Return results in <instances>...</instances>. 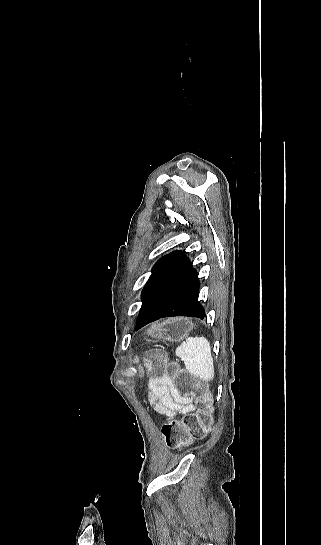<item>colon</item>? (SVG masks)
<instances>
[{
  "label": "colon",
  "mask_w": 321,
  "mask_h": 545,
  "mask_svg": "<svg viewBox=\"0 0 321 545\" xmlns=\"http://www.w3.org/2000/svg\"><path fill=\"white\" fill-rule=\"evenodd\" d=\"M145 364L152 378L169 377L175 392L196 402L195 411L187 413L182 419H172L163 424L161 431L166 445L180 450L193 441L203 439L213 421L214 402L207 386L188 375L176 363L165 361L159 354L149 355Z\"/></svg>",
  "instance_id": "5ec220e1"
}]
</instances>
